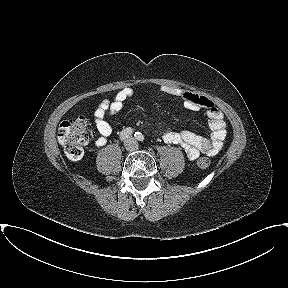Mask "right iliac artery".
Masks as SVG:
<instances>
[{"label":"right iliac artery","mask_w":288,"mask_h":288,"mask_svg":"<svg viewBox=\"0 0 288 288\" xmlns=\"http://www.w3.org/2000/svg\"><path fill=\"white\" fill-rule=\"evenodd\" d=\"M133 133V129L131 128H126L124 130H122L121 134H120V140L124 141L125 139H127L130 135H132Z\"/></svg>","instance_id":"right-iliac-artery-1"}]
</instances>
